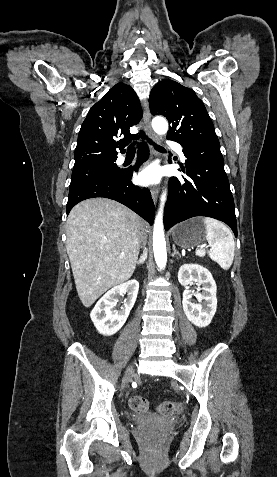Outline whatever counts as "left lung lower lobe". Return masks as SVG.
<instances>
[{
	"label": "left lung lower lobe",
	"instance_id": "left-lung-lower-lobe-1",
	"mask_svg": "<svg viewBox=\"0 0 277 477\" xmlns=\"http://www.w3.org/2000/svg\"><path fill=\"white\" fill-rule=\"evenodd\" d=\"M189 179L172 177L164 211L165 230L194 216L225 222L237 237L235 206L220 144H181ZM184 171V169H183Z\"/></svg>",
	"mask_w": 277,
	"mask_h": 477
}]
</instances>
